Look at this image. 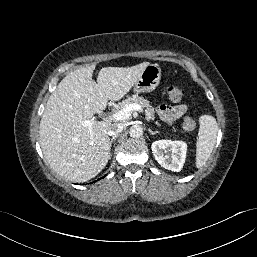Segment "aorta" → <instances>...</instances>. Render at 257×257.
Instances as JSON below:
<instances>
[{
  "label": "aorta",
  "mask_w": 257,
  "mask_h": 257,
  "mask_svg": "<svg viewBox=\"0 0 257 257\" xmlns=\"http://www.w3.org/2000/svg\"><path fill=\"white\" fill-rule=\"evenodd\" d=\"M129 134L133 138H139L143 135V128L141 125H132L129 131Z\"/></svg>",
  "instance_id": "1"
}]
</instances>
